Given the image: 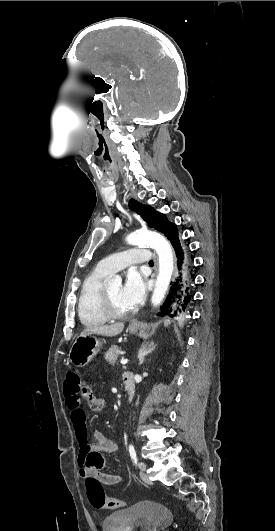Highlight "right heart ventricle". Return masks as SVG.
<instances>
[{"instance_id": "e07e8e85", "label": "right heart ventricle", "mask_w": 275, "mask_h": 531, "mask_svg": "<svg viewBox=\"0 0 275 531\" xmlns=\"http://www.w3.org/2000/svg\"><path fill=\"white\" fill-rule=\"evenodd\" d=\"M107 274L104 270H96L81 284L77 311L80 321L87 327L101 326L109 319L101 306V287Z\"/></svg>"}]
</instances>
